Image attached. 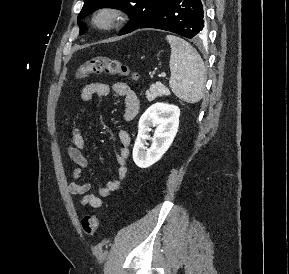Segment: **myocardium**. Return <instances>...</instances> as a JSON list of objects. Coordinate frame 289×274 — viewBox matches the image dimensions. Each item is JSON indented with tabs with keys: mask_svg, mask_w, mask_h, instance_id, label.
<instances>
[{
	"mask_svg": "<svg viewBox=\"0 0 289 274\" xmlns=\"http://www.w3.org/2000/svg\"><path fill=\"white\" fill-rule=\"evenodd\" d=\"M126 19V12L117 5H102L91 14V23L94 27L103 31L118 28Z\"/></svg>",
	"mask_w": 289,
	"mask_h": 274,
	"instance_id": "f54148a6",
	"label": "myocardium"
}]
</instances>
